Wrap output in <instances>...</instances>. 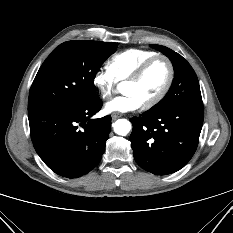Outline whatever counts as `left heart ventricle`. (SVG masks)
<instances>
[{
	"mask_svg": "<svg viewBox=\"0 0 233 233\" xmlns=\"http://www.w3.org/2000/svg\"><path fill=\"white\" fill-rule=\"evenodd\" d=\"M168 78V65L163 59L153 62L137 83H125L124 93H133L142 103L154 99L163 89Z\"/></svg>",
	"mask_w": 233,
	"mask_h": 233,
	"instance_id": "1",
	"label": "left heart ventricle"
}]
</instances>
